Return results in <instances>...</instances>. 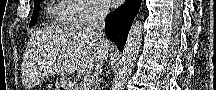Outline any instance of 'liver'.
<instances>
[{
	"instance_id": "obj_1",
	"label": "liver",
	"mask_w": 216,
	"mask_h": 90,
	"mask_svg": "<svg viewBox=\"0 0 216 90\" xmlns=\"http://www.w3.org/2000/svg\"><path fill=\"white\" fill-rule=\"evenodd\" d=\"M43 36L38 54L44 70L73 74L75 70H99L104 64L101 38L94 32H88L81 22H73L65 28H51Z\"/></svg>"
}]
</instances>
